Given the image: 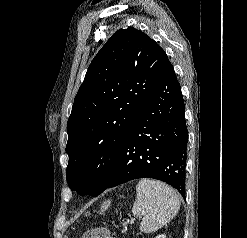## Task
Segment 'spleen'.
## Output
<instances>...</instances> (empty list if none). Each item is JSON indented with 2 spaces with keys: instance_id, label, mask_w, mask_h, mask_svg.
I'll return each instance as SVG.
<instances>
[{
  "instance_id": "spleen-1",
  "label": "spleen",
  "mask_w": 247,
  "mask_h": 238,
  "mask_svg": "<svg viewBox=\"0 0 247 238\" xmlns=\"http://www.w3.org/2000/svg\"><path fill=\"white\" fill-rule=\"evenodd\" d=\"M136 200L132 213L142 217L140 231H157L178 213L180 201L176 191L169 185L152 179H142L136 185Z\"/></svg>"
}]
</instances>
